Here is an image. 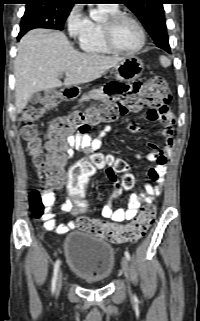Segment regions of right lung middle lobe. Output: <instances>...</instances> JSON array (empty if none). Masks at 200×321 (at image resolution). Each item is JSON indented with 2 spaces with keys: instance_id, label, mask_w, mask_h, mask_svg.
<instances>
[{
  "instance_id": "1",
  "label": "right lung middle lobe",
  "mask_w": 200,
  "mask_h": 321,
  "mask_svg": "<svg viewBox=\"0 0 200 321\" xmlns=\"http://www.w3.org/2000/svg\"><path fill=\"white\" fill-rule=\"evenodd\" d=\"M71 8L61 7L50 3L34 2L26 5L21 19L20 39L26 32L34 28L62 30Z\"/></svg>"
}]
</instances>
